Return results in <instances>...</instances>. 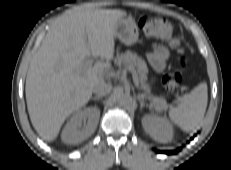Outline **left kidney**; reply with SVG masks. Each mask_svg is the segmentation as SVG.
<instances>
[{"instance_id":"1","label":"left kidney","mask_w":231,"mask_h":170,"mask_svg":"<svg viewBox=\"0 0 231 170\" xmlns=\"http://www.w3.org/2000/svg\"><path fill=\"white\" fill-rule=\"evenodd\" d=\"M142 125L146 133L158 142L167 143L173 138V127L165 118L145 115L142 119Z\"/></svg>"}]
</instances>
